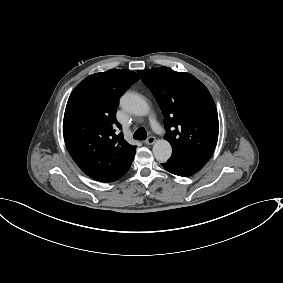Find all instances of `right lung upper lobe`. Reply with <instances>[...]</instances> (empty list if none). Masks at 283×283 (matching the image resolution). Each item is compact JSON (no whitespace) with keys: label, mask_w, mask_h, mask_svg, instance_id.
I'll return each mask as SVG.
<instances>
[{"label":"right lung upper lobe","mask_w":283,"mask_h":283,"mask_svg":"<svg viewBox=\"0 0 283 283\" xmlns=\"http://www.w3.org/2000/svg\"><path fill=\"white\" fill-rule=\"evenodd\" d=\"M139 80L135 72L112 69L81 81L71 93L64 114L67 149L81 170L102 182L116 181L130 168L136 146L115 133L120 96Z\"/></svg>","instance_id":"1"}]
</instances>
